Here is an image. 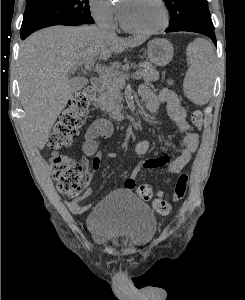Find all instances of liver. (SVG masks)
Wrapping results in <instances>:
<instances>
[{
  "instance_id": "6515ba94",
  "label": "liver",
  "mask_w": 245,
  "mask_h": 300,
  "mask_svg": "<svg viewBox=\"0 0 245 300\" xmlns=\"http://www.w3.org/2000/svg\"><path fill=\"white\" fill-rule=\"evenodd\" d=\"M146 37L121 38L96 26H52L30 35L19 54L21 103L25 129L43 149L56 119L72 97L69 73L95 58L134 48Z\"/></svg>"
}]
</instances>
